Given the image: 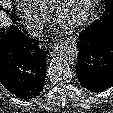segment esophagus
I'll return each instance as SVG.
<instances>
[{
	"label": "esophagus",
	"mask_w": 113,
	"mask_h": 113,
	"mask_svg": "<svg viewBox=\"0 0 113 113\" xmlns=\"http://www.w3.org/2000/svg\"><path fill=\"white\" fill-rule=\"evenodd\" d=\"M67 39L68 40H71L72 42H75L76 41V38H74V37H70V38L68 37Z\"/></svg>",
	"instance_id": "esophagus-1"
}]
</instances>
